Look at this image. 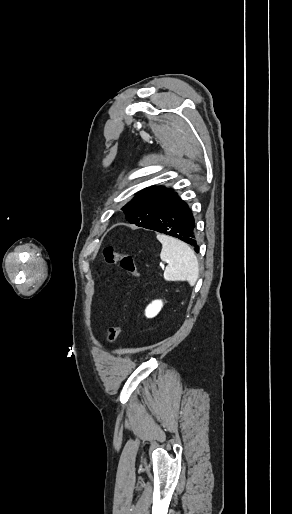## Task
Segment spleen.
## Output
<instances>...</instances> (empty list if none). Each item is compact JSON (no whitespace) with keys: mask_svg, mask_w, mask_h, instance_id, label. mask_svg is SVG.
Segmentation results:
<instances>
[{"mask_svg":"<svg viewBox=\"0 0 292 514\" xmlns=\"http://www.w3.org/2000/svg\"><path fill=\"white\" fill-rule=\"evenodd\" d=\"M157 240L162 244L160 258L162 262L168 264L164 270V280L189 282L190 286H194L198 280L199 268L193 250L181 240H176L171 236L157 234Z\"/></svg>","mask_w":292,"mask_h":514,"instance_id":"obj_1","label":"spleen"}]
</instances>
